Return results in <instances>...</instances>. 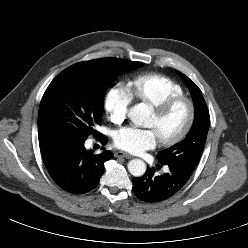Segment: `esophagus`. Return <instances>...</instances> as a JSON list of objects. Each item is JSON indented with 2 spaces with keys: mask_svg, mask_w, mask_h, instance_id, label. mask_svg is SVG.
<instances>
[{
  "mask_svg": "<svg viewBox=\"0 0 248 248\" xmlns=\"http://www.w3.org/2000/svg\"><path fill=\"white\" fill-rule=\"evenodd\" d=\"M114 156L115 157H123V158H126V159H130L132 158V155L129 154V153H126V152H123V151H117L114 153Z\"/></svg>",
  "mask_w": 248,
  "mask_h": 248,
  "instance_id": "1",
  "label": "esophagus"
}]
</instances>
